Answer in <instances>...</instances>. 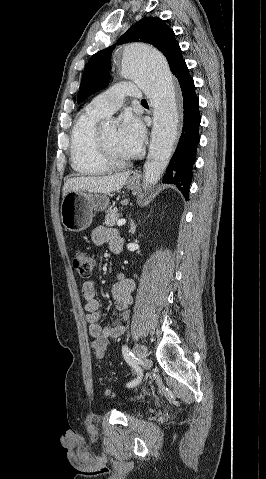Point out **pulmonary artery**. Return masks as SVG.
Returning <instances> with one entry per match:
<instances>
[{"label": "pulmonary artery", "instance_id": "1", "mask_svg": "<svg viewBox=\"0 0 266 479\" xmlns=\"http://www.w3.org/2000/svg\"><path fill=\"white\" fill-rule=\"evenodd\" d=\"M141 98L142 92L132 82H121L97 95L88 105V109L102 116H109L123 104L125 97Z\"/></svg>", "mask_w": 266, "mask_h": 479}]
</instances>
